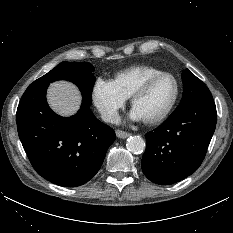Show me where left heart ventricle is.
Segmentation results:
<instances>
[{"mask_svg":"<svg viewBox=\"0 0 233 233\" xmlns=\"http://www.w3.org/2000/svg\"><path fill=\"white\" fill-rule=\"evenodd\" d=\"M175 92L174 81L169 77L157 80L134 104L133 110L141 119L160 115L168 106Z\"/></svg>","mask_w":233,"mask_h":233,"instance_id":"left-heart-ventricle-1","label":"left heart ventricle"}]
</instances>
